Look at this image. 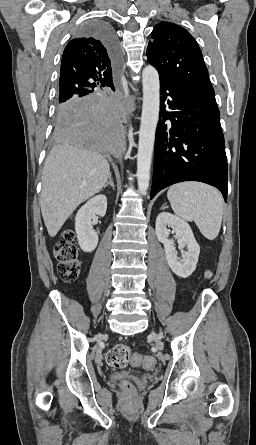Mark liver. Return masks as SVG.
<instances>
[{
  "label": "liver",
  "mask_w": 256,
  "mask_h": 445,
  "mask_svg": "<svg viewBox=\"0 0 256 445\" xmlns=\"http://www.w3.org/2000/svg\"><path fill=\"white\" fill-rule=\"evenodd\" d=\"M109 174L108 161L86 152L82 145L64 143L50 151L42 173L40 204L51 237L81 203L102 189Z\"/></svg>",
  "instance_id": "obj_1"
}]
</instances>
